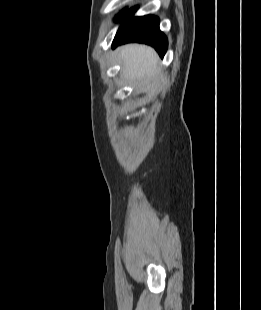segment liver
<instances>
[{"label": "liver", "instance_id": "obj_1", "mask_svg": "<svg viewBox=\"0 0 261 310\" xmlns=\"http://www.w3.org/2000/svg\"><path fill=\"white\" fill-rule=\"evenodd\" d=\"M123 64V76L132 82H137L141 89H147L158 77V56L149 46L129 44L118 50Z\"/></svg>", "mask_w": 261, "mask_h": 310}]
</instances>
